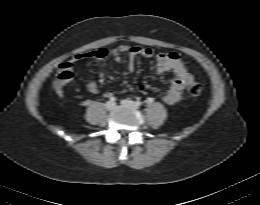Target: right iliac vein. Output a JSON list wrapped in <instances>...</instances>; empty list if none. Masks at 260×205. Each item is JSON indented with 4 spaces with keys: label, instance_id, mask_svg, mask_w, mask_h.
I'll return each instance as SVG.
<instances>
[{
    "label": "right iliac vein",
    "instance_id": "obj_1",
    "mask_svg": "<svg viewBox=\"0 0 260 205\" xmlns=\"http://www.w3.org/2000/svg\"><path fill=\"white\" fill-rule=\"evenodd\" d=\"M114 107H115V103H114V102L109 101V102H107V103L105 104V108H106L107 110H111V109H113Z\"/></svg>",
    "mask_w": 260,
    "mask_h": 205
}]
</instances>
